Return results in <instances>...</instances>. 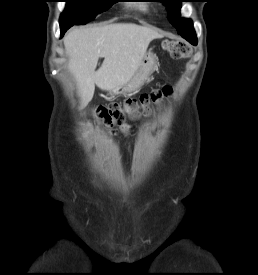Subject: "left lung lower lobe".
<instances>
[{
	"mask_svg": "<svg viewBox=\"0 0 258 275\" xmlns=\"http://www.w3.org/2000/svg\"><path fill=\"white\" fill-rule=\"evenodd\" d=\"M181 36L184 39H186L189 43H191L192 45H197V38H196L194 29L188 31L185 34H182Z\"/></svg>",
	"mask_w": 258,
	"mask_h": 275,
	"instance_id": "obj_1",
	"label": "left lung lower lobe"
}]
</instances>
